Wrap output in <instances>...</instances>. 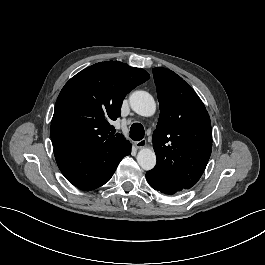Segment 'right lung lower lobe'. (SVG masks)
Segmentation results:
<instances>
[{"label": "right lung lower lobe", "mask_w": 265, "mask_h": 265, "mask_svg": "<svg viewBox=\"0 0 265 265\" xmlns=\"http://www.w3.org/2000/svg\"><path fill=\"white\" fill-rule=\"evenodd\" d=\"M130 153L131 144L127 140L98 148H54L62 174L82 190H93L108 182L121 159Z\"/></svg>", "instance_id": "1"}]
</instances>
